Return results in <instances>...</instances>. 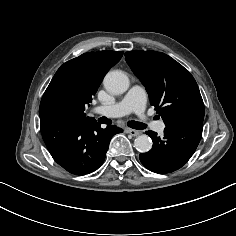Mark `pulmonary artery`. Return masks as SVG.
I'll return each instance as SVG.
<instances>
[{"label":"pulmonary artery","instance_id":"obj_1","mask_svg":"<svg viewBox=\"0 0 236 236\" xmlns=\"http://www.w3.org/2000/svg\"><path fill=\"white\" fill-rule=\"evenodd\" d=\"M146 103V93L142 86L133 85L122 100L109 104V105H99L94 107L93 111L95 113H110L115 116H124L129 113H136L139 116L144 115ZM164 123L158 122L156 124V131L161 133L164 130Z\"/></svg>","mask_w":236,"mask_h":236}]
</instances>
